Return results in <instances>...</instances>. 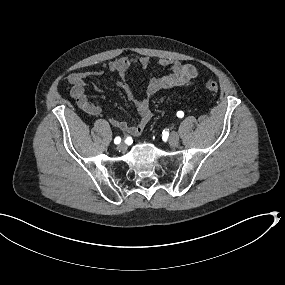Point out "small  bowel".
I'll list each match as a JSON object with an SVG mask.
<instances>
[{
  "instance_id": "c3829d8e",
  "label": "small bowel",
  "mask_w": 285,
  "mask_h": 285,
  "mask_svg": "<svg viewBox=\"0 0 285 285\" xmlns=\"http://www.w3.org/2000/svg\"><path fill=\"white\" fill-rule=\"evenodd\" d=\"M157 63L162 67H169L171 73L165 76L152 77L148 83L146 95L143 98H136L134 96L130 86L124 79V75L131 67L147 69L151 64L150 59L147 56H140L137 58L123 56L104 65L103 69L100 71L73 73L68 77V80L72 85L70 94L83 111L91 115H98L101 111L100 107L97 104L89 102L86 97L88 81H92L105 73L119 74L121 79L119 80L118 85L125 91L127 98L133 102L140 118L135 125H129L127 122L115 117L110 118L109 122L113 127L130 136H139L152 118L150 99L163 89L186 88L192 85L198 76V70L192 64H182L177 60L169 58L159 59ZM93 86L98 89L96 84H93Z\"/></svg>"
}]
</instances>
